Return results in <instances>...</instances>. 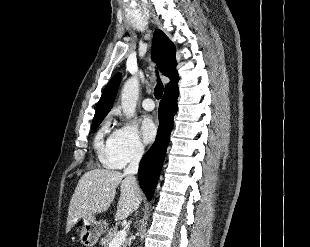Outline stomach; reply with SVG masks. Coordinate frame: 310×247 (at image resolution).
I'll use <instances>...</instances> for the list:
<instances>
[{
  "label": "stomach",
  "mask_w": 310,
  "mask_h": 247,
  "mask_svg": "<svg viewBox=\"0 0 310 247\" xmlns=\"http://www.w3.org/2000/svg\"><path fill=\"white\" fill-rule=\"evenodd\" d=\"M105 230L106 223L98 221L95 216L83 219V226L79 233V241L85 247H93Z\"/></svg>",
  "instance_id": "stomach-1"
}]
</instances>
